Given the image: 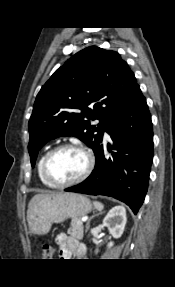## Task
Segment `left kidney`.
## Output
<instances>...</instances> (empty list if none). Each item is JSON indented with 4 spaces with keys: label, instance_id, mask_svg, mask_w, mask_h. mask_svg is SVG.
<instances>
[{
    "label": "left kidney",
    "instance_id": "1",
    "mask_svg": "<svg viewBox=\"0 0 175 287\" xmlns=\"http://www.w3.org/2000/svg\"><path fill=\"white\" fill-rule=\"evenodd\" d=\"M126 221V209L123 206H115L103 219V225L107 227L113 238H120L124 232ZM107 246L108 248L112 247L113 242H109Z\"/></svg>",
    "mask_w": 175,
    "mask_h": 287
}]
</instances>
